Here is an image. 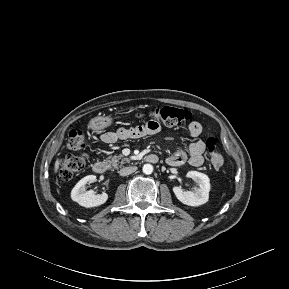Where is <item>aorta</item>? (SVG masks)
I'll list each match as a JSON object with an SVG mask.
<instances>
[{
  "mask_svg": "<svg viewBox=\"0 0 289 289\" xmlns=\"http://www.w3.org/2000/svg\"><path fill=\"white\" fill-rule=\"evenodd\" d=\"M153 172V166L151 164H145L143 166V173L151 174Z\"/></svg>",
  "mask_w": 289,
  "mask_h": 289,
  "instance_id": "obj_1",
  "label": "aorta"
}]
</instances>
